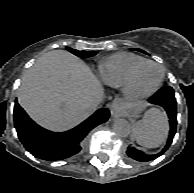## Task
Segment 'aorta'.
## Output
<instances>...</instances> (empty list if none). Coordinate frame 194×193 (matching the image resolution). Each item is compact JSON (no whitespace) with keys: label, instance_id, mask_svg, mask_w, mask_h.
I'll return each instance as SVG.
<instances>
[{"label":"aorta","instance_id":"obj_1","mask_svg":"<svg viewBox=\"0 0 194 193\" xmlns=\"http://www.w3.org/2000/svg\"><path fill=\"white\" fill-rule=\"evenodd\" d=\"M113 131L120 137H126L131 132V126L125 119H117L113 124Z\"/></svg>","mask_w":194,"mask_h":193}]
</instances>
